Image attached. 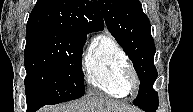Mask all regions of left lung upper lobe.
Returning <instances> with one entry per match:
<instances>
[{
    "label": "left lung upper lobe",
    "mask_w": 193,
    "mask_h": 112,
    "mask_svg": "<svg viewBox=\"0 0 193 112\" xmlns=\"http://www.w3.org/2000/svg\"><path fill=\"white\" fill-rule=\"evenodd\" d=\"M108 30L115 37L128 57L140 79L136 106H145L158 100L153 84L157 70L153 59L155 54L151 25L143 13L139 0H98Z\"/></svg>",
    "instance_id": "1"
}]
</instances>
